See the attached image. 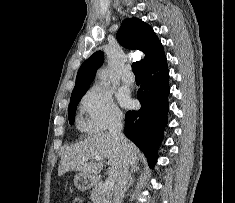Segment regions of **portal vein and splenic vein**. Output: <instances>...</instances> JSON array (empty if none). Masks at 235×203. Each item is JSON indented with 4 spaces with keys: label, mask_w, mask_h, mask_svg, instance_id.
I'll return each instance as SVG.
<instances>
[{
    "label": "portal vein and splenic vein",
    "mask_w": 235,
    "mask_h": 203,
    "mask_svg": "<svg viewBox=\"0 0 235 203\" xmlns=\"http://www.w3.org/2000/svg\"><path fill=\"white\" fill-rule=\"evenodd\" d=\"M95 160L102 161L103 159L101 157H96ZM113 186H114V182L111 178L106 179L103 184L104 190H107V191H110L113 188Z\"/></svg>",
    "instance_id": "18ae733b"
}]
</instances>
